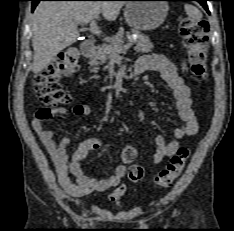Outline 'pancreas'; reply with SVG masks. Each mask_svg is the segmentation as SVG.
Listing matches in <instances>:
<instances>
[{"instance_id":"obj_1","label":"pancreas","mask_w":234,"mask_h":231,"mask_svg":"<svg viewBox=\"0 0 234 231\" xmlns=\"http://www.w3.org/2000/svg\"><path fill=\"white\" fill-rule=\"evenodd\" d=\"M136 37H130L131 33H127L128 41L135 44V50L137 52L148 53L153 48V44L149 41L148 37L141 34L140 32H134ZM124 39V34L119 31L114 36L108 38V44H104L98 47V50L91 60V65L93 66L92 72H97L99 70V65L106 63L107 60L112 59V57L118 53V49L122 47Z\"/></svg>"}]
</instances>
